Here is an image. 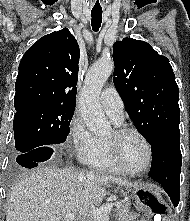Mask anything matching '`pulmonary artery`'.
<instances>
[{
  "instance_id": "e3ab8cb5",
  "label": "pulmonary artery",
  "mask_w": 190,
  "mask_h": 221,
  "mask_svg": "<svg viewBox=\"0 0 190 221\" xmlns=\"http://www.w3.org/2000/svg\"><path fill=\"white\" fill-rule=\"evenodd\" d=\"M100 102L106 114L115 123L123 121L124 104L121 96L114 87H107L102 91Z\"/></svg>"
}]
</instances>
